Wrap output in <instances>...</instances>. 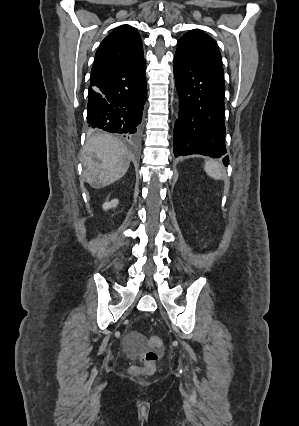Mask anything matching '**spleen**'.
I'll return each mask as SVG.
<instances>
[{"mask_svg":"<svg viewBox=\"0 0 299 426\" xmlns=\"http://www.w3.org/2000/svg\"><path fill=\"white\" fill-rule=\"evenodd\" d=\"M205 172L213 179L219 180L222 179V168L219 163L213 160H208L204 165Z\"/></svg>","mask_w":299,"mask_h":426,"instance_id":"3e777b00","label":"spleen"}]
</instances>
